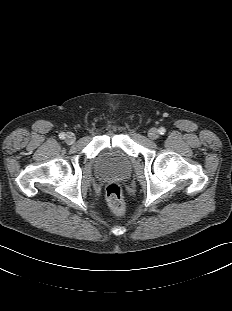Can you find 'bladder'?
I'll use <instances>...</instances> for the list:
<instances>
[{
    "label": "bladder",
    "mask_w": 232,
    "mask_h": 311,
    "mask_svg": "<svg viewBox=\"0 0 232 311\" xmlns=\"http://www.w3.org/2000/svg\"><path fill=\"white\" fill-rule=\"evenodd\" d=\"M96 167L101 175L122 178L130 171V161L122 153L107 152L98 159Z\"/></svg>",
    "instance_id": "31cf9c89"
}]
</instances>
